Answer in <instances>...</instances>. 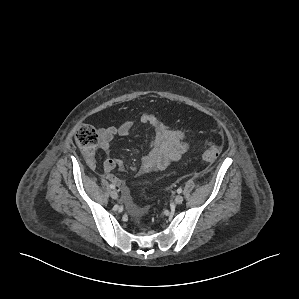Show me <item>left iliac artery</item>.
Instances as JSON below:
<instances>
[{
    "label": "left iliac artery",
    "mask_w": 299,
    "mask_h": 299,
    "mask_svg": "<svg viewBox=\"0 0 299 299\" xmlns=\"http://www.w3.org/2000/svg\"><path fill=\"white\" fill-rule=\"evenodd\" d=\"M181 192H182V188H178L177 193H181Z\"/></svg>",
    "instance_id": "obj_1"
}]
</instances>
